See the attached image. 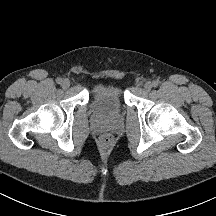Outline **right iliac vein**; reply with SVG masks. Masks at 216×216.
Segmentation results:
<instances>
[{"instance_id":"63e3f726","label":"right iliac vein","mask_w":216,"mask_h":216,"mask_svg":"<svg viewBox=\"0 0 216 216\" xmlns=\"http://www.w3.org/2000/svg\"><path fill=\"white\" fill-rule=\"evenodd\" d=\"M62 87L64 88V89H67V88H69V86H70V81L68 80V79H64L63 81H62Z\"/></svg>"}]
</instances>
